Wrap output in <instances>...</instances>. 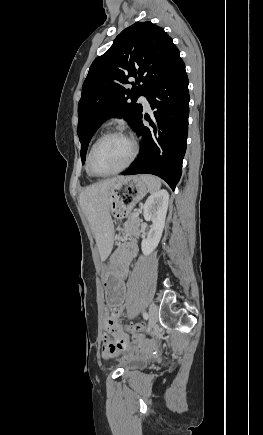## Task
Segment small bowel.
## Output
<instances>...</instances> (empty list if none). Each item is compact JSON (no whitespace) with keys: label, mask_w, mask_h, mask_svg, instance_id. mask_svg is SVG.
I'll return each instance as SVG.
<instances>
[{"label":"small bowel","mask_w":263,"mask_h":435,"mask_svg":"<svg viewBox=\"0 0 263 435\" xmlns=\"http://www.w3.org/2000/svg\"><path fill=\"white\" fill-rule=\"evenodd\" d=\"M137 253L138 248L135 243H128L113 253L111 258H121V260L126 261L128 265L126 269V277L120 279H127L131 263L137 256ZM123 311V305H117L116 309L111 310V312L105 318L104 326L106 331L110 334H104L103 336V338L108 339V344L102 345V354L104 357L120 355L121 353H125L126 348L131 350L134 347V344L131 341H128L130 335L123 331V326L118 321ZM125 341L128 342L126 343Z\"/></svg>","instance_id":"c3829d8e"}]
</instances>
